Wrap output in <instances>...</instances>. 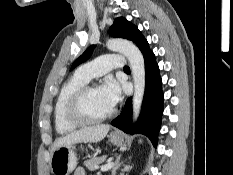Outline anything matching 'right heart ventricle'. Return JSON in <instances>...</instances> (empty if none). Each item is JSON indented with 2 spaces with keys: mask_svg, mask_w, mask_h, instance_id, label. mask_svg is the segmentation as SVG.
Wrapping results in <instances>:
<instances>
[{
  "mask_svg": "<svg viewBox=\"0 0 233 175\" xmlns=\"http://www.w3.org/2000/svg\"><path fill=\"white\" fill-rule=\"evenodd\" d=\"M87 83V80L75 74L60 89L54 107V124L58 133L67 134L80 126V124L74 123L68 118L66 106L72 94Z\"/></svg>",
  "mask_w": 233,
  "mask_h": 175,
  "instance_id": "obj_1",
  "label": "right heart ventricle"
}]
</instances>
